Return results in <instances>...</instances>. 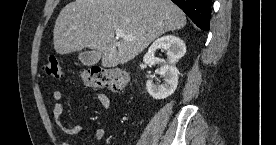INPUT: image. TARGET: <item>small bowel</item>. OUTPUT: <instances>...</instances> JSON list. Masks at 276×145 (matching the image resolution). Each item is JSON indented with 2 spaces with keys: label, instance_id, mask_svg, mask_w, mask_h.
Here are the masks:
<instances>
[{
  "label": "small bowel",
  "instance_id": "1",
  "mask_svg": "<svg viewBox=\"0 0 276 145\" xmlns=\"http://www.w3.org/2000/svg\"><path fill=\"white\" fill-rule=\"evenodd\" d=\"M94 96L99 101L101 106L104 109H108L110 107L109 98L103 93H95ZM54 106H53V118L55 123L60 127V129L66 133L67 135H78L83 131V127L80 124H75L72 126H67L64 124L62 120L63 115V93L61 91H55L53 93ZM94 138L101 140L106 137V131L103 128H97L93 132ZM63 145H68V143H63Z\"/></svg>",
  "mask_w": 276,
  "mask_h": 145
}]
</instances>
